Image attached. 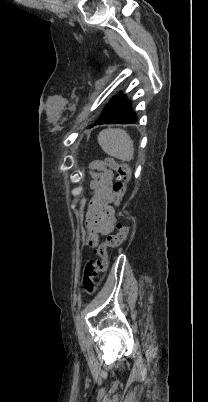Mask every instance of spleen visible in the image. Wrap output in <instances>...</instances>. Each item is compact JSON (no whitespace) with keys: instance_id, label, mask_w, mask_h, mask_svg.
Instances as JSON below:
<instances>
[{"instance_id":"spleen-1","label":"spleen","mask_w":208,"mask_h":402,"mask_svg":"<svg viewBox=\"0 0 208 402\" xmlns=\"http://www.w3.org/2000/svg\"><path fill=\"white\" fill-rule=\"evenodd\" d=\"M98 144L103 152H106L112 158H117L122 162H131L133 160V142L125 130H120V128L102 130L98 136Z\"/></svg>"}]
</instances>
